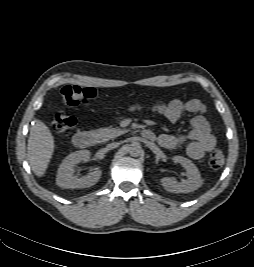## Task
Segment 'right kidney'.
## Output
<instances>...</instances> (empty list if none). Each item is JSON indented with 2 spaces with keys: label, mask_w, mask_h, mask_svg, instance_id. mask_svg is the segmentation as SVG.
<instances>
[{
  "label": "right kidney",
  "mask_w": 254,
  "mask_h": 267,
  "mask_svg": "<svg viewBox=\"0 0 254 267\" xmlns=\"http://www.w3.org/2000/svg\"><path fill=\"white\" fill-rule=\"evenodd\" d=\"M90 155V151L88 150H80L69 154L60 164L56 184L66 189L88 188L95 185L102 174L100 169H96L80 178L74 176V167L80 162L88 161Z\"/></svg>",
  "instance_id": "obj_1"
}]
</instances>
